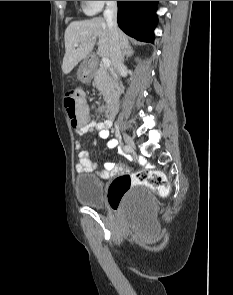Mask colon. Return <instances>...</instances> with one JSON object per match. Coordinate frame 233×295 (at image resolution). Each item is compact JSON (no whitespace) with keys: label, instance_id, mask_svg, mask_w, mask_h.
Segmentation results:
<instances>
[{"label":"colon","instance_id":"5ec220e1","mask_svg":"<svg viewBox=\"0 0 233 295\" xmlns=\"http://www.w3.org/2000/svg\"><path fill=\"white\" fill-rule=\"evenodd\" d=\"M64 106L74 127L84 125L88 121V109L82 89L68 91L64 97ZM135 186H146L157 190L160 194H166L168 180L162 172L156 170L144 169L134 174H122L110 183L108 189V202L111 208L120 209Z\"/></svg>","mask_w":233,"mask_h":295}]
</instances>
